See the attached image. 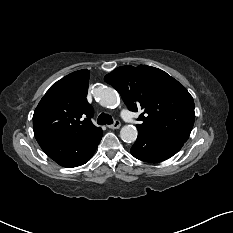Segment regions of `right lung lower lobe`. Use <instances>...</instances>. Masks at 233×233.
Returning <instances> with one entry per match:
<instances>
[{
	"instance_id": "obj_1",
	"label": "right lung lower lobe",
	"mask_w": 233,
	"mask_h": 233,
	"mask_svg": "<svg viewBox=\"0 0 233 233\" xmlns=\"http://www.w3.org/2000/svg\"><path fill=\"white\" fill-rule=\"evenodd\" d=\"M102 138V129L79 140L39 141L45 154L64 167H77L88 162Z\"/></svg>"
}]
</instances>
